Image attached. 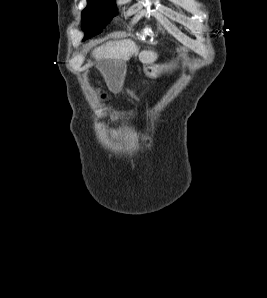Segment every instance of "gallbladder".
<instances>
[{"mask_svg": "<svg viewBox=\"0 0 267 298\" xmlns=\"http://www.w3.org/2000/svg\"><path fill=\"white\" fill-rule=\"evenodd\" d=\"M118 65H123V63L120 61H115L111 59H100L98 60V63H97L98 68L106 74L123 73L124 69L119 70L118 68H116V66Z\"/></svg>", "mask_w": 267, "mask_h": 298, "instance_id": "1", "label": "gallbladder"}]
</instances>
